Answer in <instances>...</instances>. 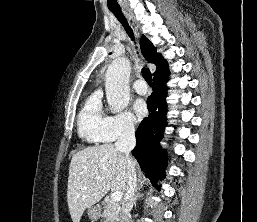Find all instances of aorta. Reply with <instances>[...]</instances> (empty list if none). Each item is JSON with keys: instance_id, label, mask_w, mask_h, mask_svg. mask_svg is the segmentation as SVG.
Wrapping results in <instances>:
<instances>
[{"instance_id": "762f6f07", "label": "aorta", "mask_w": 257, "mask_h": 222, "mask_svg": "<svg viewBox=\"0 0 257 222\" xmlns=\"http://www.w3.org/2000/svg\"><path fill=\"white\" fill-rule=\"evenodd\" d=\"M130 62L126 58L112 61L105 74L106 98L112 113L123 111L129 104Z\"/></svg>"}]
</instances>
